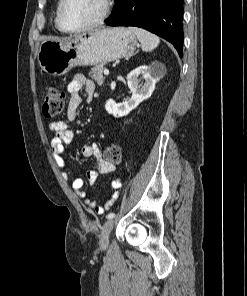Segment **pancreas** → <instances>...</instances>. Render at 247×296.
<instances>
[{
	"label": "pancreas",
	"mask_w": 247,
	"mask_h": 296,
	"mask_svg": "<svg viewBox=\"0 0 247 296\" xmlns=\"http://www.w3.org/2000/svg\"><path fill=\"white\" fill-rule=\"evenodd\" d=\"M104 63L98 64L91 68L89 76L95 80L98 84H102L104 81L103 77Z\"/></svg>",
	"instance_id": "pancreas-1"
}]
</instances>
